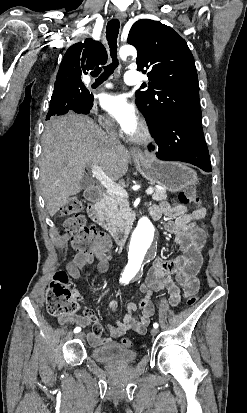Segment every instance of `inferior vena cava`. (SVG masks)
I'll return each mask as SVG.
<instances>
[{
  "mask_svg": "<svg viewBox=\"0 0 247 413\" xmlns=\"http://www.w3.org/2000/svg\"><path fill=\"white\" fill-rule=\"evenodd\" d=\"M106 138L108 142H120L117 134V130L115 128H110L106 134Z\"/></svg>",
  "mask_w": 247,
  "mask_h": 413,
  "instance_id": "obj_1",
  "label": "inferior vena cava"
}]
</instances>
